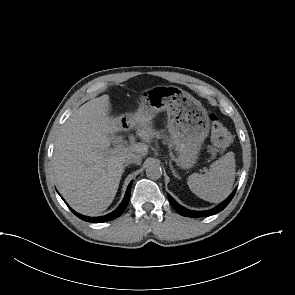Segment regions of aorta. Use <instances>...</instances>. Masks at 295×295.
Segmentation results:
<instances>
[{"label":"aorta","instance_id":"aorta-1","mask_svg":"<svg viewBox=\"0 0 295 295\" xmlns=\"http://www.w3.org/2000/svg\"><path fill=\"white\" fill-rule=\"evenodd\" d=\"M146 175L151 179H159L162 176V168L158 163L152 162L146 168Z\"/></svg>","mask_w":295,"mask_h":295}]
</instances>
